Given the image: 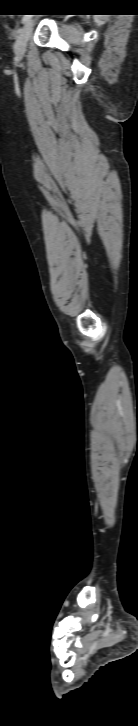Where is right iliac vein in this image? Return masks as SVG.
Instances as JSON below:
<instances>
[{
	"mask_svg": "<svg viewBox=\"0 0 138 726\" xmlns=\"http://www.w3.org/2000/svg\"><path fill=\"white\" fill-rule=\"evenodd\" d=\"M33 27V20H28L20 32V35L15 43V54L18 58H22L25 54L27 42L31 36Z\"/></svg>",
	"mask_w": 138,
	"mask_h": 726,
	"instance_id": "right-iliac-vein-1",
	"label": "right iliac vein"
}]
</instances>
